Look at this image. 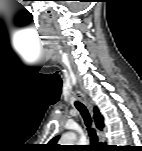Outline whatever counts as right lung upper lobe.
I'll use <instances>...</instances> for the list:
<instances>
[{"label":"right lung upper lobe","mask_w":142,"mask_h":151,"mask_svg":"<svg viewBox=\"0 0 142 151\" xmlns=\"http://www.w3.org/2000/svg\"><path fill=\"white\" fill-rule=\"evenodd\" d=\"M94 121H95V124H96V127L100 130L103 129V126H104V123H103V117L102 115L100 114L99 110L97 107L94 108ZM59 139V136H56L54 137L50 142H49V146L50 148H57V141Z\"/></svg>","instance_id":"right-lung-upper-lobe-1"}]
</instances>
